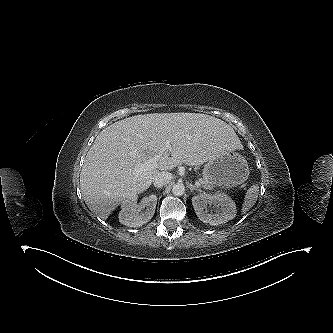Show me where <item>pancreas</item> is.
Here are the masks:
<instances>
[{
    "mask_svg": "<svg viewBox=\"0 0 333 333\" xmlns=\"http://www.w3.org/2000/svg\"><path fill=\"white\" fill-rule=\"evenodd\" d=\"M201 184H202V187L205 188V189H212L213 188V186L208 181L202 180Z\"/></svg>",
    "mask_w": 333,
    "mask_h": 333,
    "instance_id": "cf45deb5",
    "label": "pancreas"
}]
</instances>
